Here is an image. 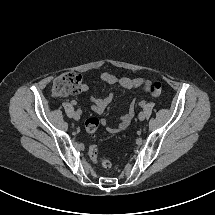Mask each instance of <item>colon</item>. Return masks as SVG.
<instances>
[{
  "mask_svg": "<svg viewBox=\"0 0 215 215\" xmlns=\"http://www.w3.org/2000/svg\"><path fill=\"white\" fill-rule=\"evenodd\" d=\"M162 83L155 81L148 87V93L150 96L157 98L162 93ZM83 90L82 77L79 73L74 71H68L60 74L53 83V92L57 95L75 94ZM99 126V120L97 118H90L85 123V129L89 135H92ZM88 155L93 164L103 168L110 169L112 162L106 157L98 155V148L95 145H91L88 150Z\"/></svg>",
  "mask_w": 215,
  "mask_h": 215,
  "instance_id": "1",
  "label": "colon"
}]
</instances>
